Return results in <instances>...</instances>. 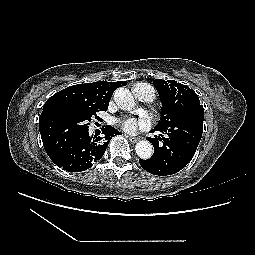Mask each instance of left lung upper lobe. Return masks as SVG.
Wrapping results in <instances>:
<instances>
[{"label":"left lung upper lobe","mask_w":255,"mask_h":255,"mask_svg":"<svg viewBox=\"0 0 255 255\" xmlns=\"http://www.w3.org/2000/svg\"><path fill=\"white\" fill-rule=\"evenodd\" d=\"M153 84L162 103L158 127H168L185 117L192 122L196 112L204 109L198 95L186 85L177 83L175 80L162 79L155 80Z\"/></svg>","instance_id":"obj_1"}]
</instances>
